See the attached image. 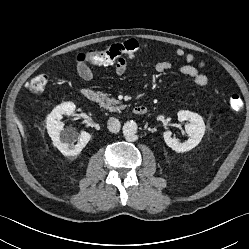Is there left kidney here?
Instances as JSON below:
<instances>
[{
    "mask_svg": "<svg viewBox=\"0 0 249 249\" xmlns=\"http://www.w3.org/2000/svg\"><path fill=\"white\" fill-rule=\"evenodd\" d=\"M177 116L180 122L185 120L190 121L189 124H185V131L189 136L188 140L183 143L179 142L178 139L171 137V131H165L163 133V138L168 147L178 153H183L193 149L200 143L205 133V124L203 118L199 114L191 111L180 110L177 113Z\"/></svg>",
    "mask_w": 249,
    "mask_h": 249,
    "instance_id": "obj_1",
    "label": "left kidney"
}]
</instances>
